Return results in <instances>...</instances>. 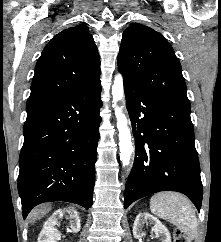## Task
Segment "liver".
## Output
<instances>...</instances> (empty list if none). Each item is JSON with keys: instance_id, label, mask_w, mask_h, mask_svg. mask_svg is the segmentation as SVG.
<instances>
[{"instance_id": "1", "label": "liver", "mask_w": 221, "mask_h": 242, "mask_svg": "<svg viewBox=\"0 0 221 242\" xmlns=\"http://www.w3.org/2000/svg\"><path fill=\"white\" fill-rule=\"evenodd\" d=\"M49 209L50 207L47 206L34 209L29 216L31 222L34 223L36 220L41 219L49 211Z\"/></svg>"}]
</instances>
